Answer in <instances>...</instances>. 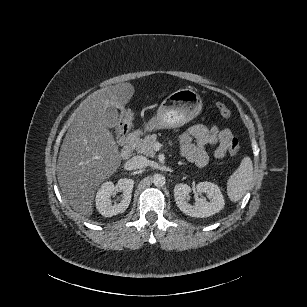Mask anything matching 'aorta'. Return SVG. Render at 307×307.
Masks as SVG:
<instances>
[{"label":"aorta","instance_id":"aorta-1","mask_svg":"<svg viewBox=\"0 0 307 307\" xmlns=\"http://www.w3.org/2000/svg\"><path fill=\"white\" fill-rule=\"evenodd\" d=\"M153 183H154V185L157 186V187H162V186H164L165 183H166V178H165V176L162 175V174H155V175L153 176Z\"/></svg>","mask_w":307,"mask_h":307}]
</instances>
